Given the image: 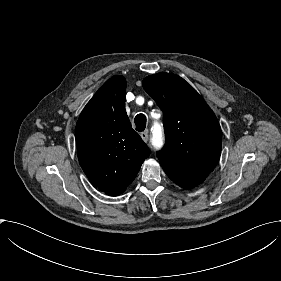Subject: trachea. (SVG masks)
I'll return each instance as SVG.
<instances>
[{"label":"trachea","instance_id":"1","mask_svg":"<svg viewBox=\"0 0 281 281\" xmlns=\"http://www.w3.org/2000/svg\"><path fill=\"white\" fill-rule=\"evenodd\" d=\"M135 126L137 131H144L146 128V116L144 114H138L135 117Z\"/></svg>","mask_w":281,"mask_h":281}]
</instances>
